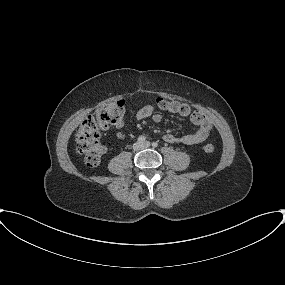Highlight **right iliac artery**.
<instances>
[{
	"instance_id": "obj_1",
	"label": "right iliac artery",
	"mask_w": 285,
	"mask_h": 285,
	"mask_svg": "<svg viewBox=\"0 0 285 285\" xmlns=\"http://www.w3.org/2000/svg\"><path fill=\"white\" fill-rule=\"evenodd\" d=\"M145 139H146V138H145L144 136H139V137H138V142H139V143H143V142L145 141Z\"/></svg>"
}]
</instances>
